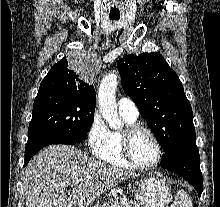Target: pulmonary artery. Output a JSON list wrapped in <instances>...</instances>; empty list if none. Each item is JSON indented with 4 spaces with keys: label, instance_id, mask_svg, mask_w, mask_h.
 <instances>
[{
    "label": "pulmonary artery",
    "instance_id": "pulmonary-artery-1",
    "mask_svg": "<svg viewBox=\"0 0 220 207\" xmlns=\"http://www.w3.org/2000/svg\"><path fill=\"white\" fill-rule=\"evenodd\" d=\"M117 105L120 114L126 115L132 119H137L139 111L136 104L130 98H120Z\"/></svg>",
    "mask_w": 220,
    "mask_h": 207
}]
</instances>
